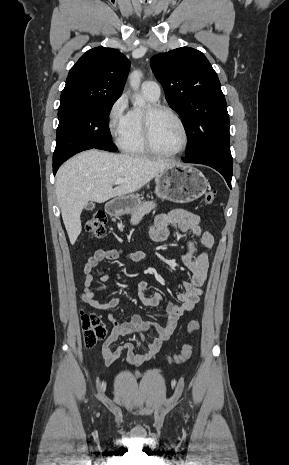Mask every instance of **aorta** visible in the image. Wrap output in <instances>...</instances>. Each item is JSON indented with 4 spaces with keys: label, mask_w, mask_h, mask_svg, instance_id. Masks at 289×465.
Segmentation results:
<instances>
[{
    "label": "aorta",
    "mask_w": 289,
    "mask_h": 465,
    "mask_svg": "<svg viewBox=\"0 0 289 465\" xmlns=\"http://www.w3.org/2000/svg\"><path fill=\"white\" fill-rule=\"evenodd\" d=\"M141 78H142V72L139 71V70H135L130 74L129 83H130L131 88L134 91H137L139 89L140 83H141ZM135 104L138 105V106H144L145 101H144V99L142 97L139 96V97L136 98Z\"/></svg>",
    "instance_id": "1"
}]
</instances>
